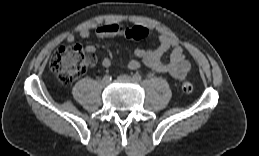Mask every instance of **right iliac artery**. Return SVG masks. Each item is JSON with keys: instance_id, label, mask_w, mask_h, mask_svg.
Wrapping results in <instances>:
<instances>
[{"instance_id": "82829eb1", "label": "right iliac artery", "mask_w": 259, "mask_h": 156, "mask_svg": "<svg viewBox=\"0 0 259 156\" xmlns=\"http://www.w3.org/2000/svg\"><path fill=\"white\" fill-rule=\"evenodd\" d=\"M103 79L111 80V76H109V75H105Z\"/></svg>"}]
</instances>
